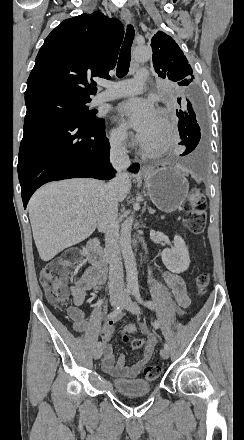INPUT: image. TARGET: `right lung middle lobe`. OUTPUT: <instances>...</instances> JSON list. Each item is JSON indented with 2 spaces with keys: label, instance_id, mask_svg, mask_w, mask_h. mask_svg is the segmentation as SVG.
I'll list each match as a JSON object with an SVG mask.
<instances>
[{
  "label": "right lung middle lobe",
  "instance_id": "1",
  "mask_svg": "<svg viewBox=\"0 0 244 440\" xmlns=\"http://www.w3.org/2000/svg\"><path fill=\"white\" fill-rule=\"evenodd\" d=\"M91 98H74L58 95H45L25 99L27 111L42 110L61 114L75 121L90 124L96 117L89 111L87 103Z\"/></svg>",
  "mask_w": 244,
  "mask_h": 440
}]
</instances>
